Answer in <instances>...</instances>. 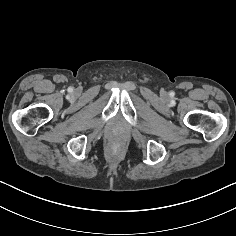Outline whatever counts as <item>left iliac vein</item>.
I'll return each instance as SVG.
<instances>
[{"label": "left iliac vein", "mask_w": 236, "mask_h": 236, "mask_svg": "<svg viewBox=\"0 0 236 236\" xmlns=\"http://www.w3.org/2000/svg\"><path fill=\"white\" fill-rule=\"evenodd\" d=\"M160 94H161L162 97H166L167 96V92L164 91V90H162Z\"/></svg>", "instance_id": "left-iliac-vein-1"}]
</instances>
